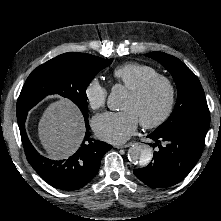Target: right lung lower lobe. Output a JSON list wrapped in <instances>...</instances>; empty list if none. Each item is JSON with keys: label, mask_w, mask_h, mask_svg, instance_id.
<instances>
[{"label": "right lung lower lobe", "mask_w": 221, "mask_h": 221, "mask_svg": "<svg viewBox=\"0 0 221 221\" xmlns=\"http://www.w3.org/2000/svg\"><path fill=\"white\" fill-rule=\"evenodd\" d=\"M27 113L18 118L21 139L28 162L54 188L73 191L87 185L97 174L100 162L111 145L90 138L89 122L85 120L86 135L78 151L65 160H50L32 146L25 130Z\"/></svg>", "instance_id": "obj_1"}]
</instances>
